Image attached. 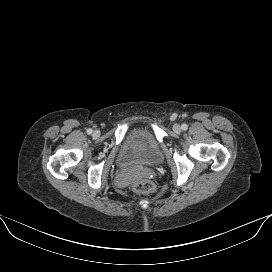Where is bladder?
I'll return each mask as SVG.
<instances>
[{
	"mask_svg": "<svg viewBox=\"0 0 272 272\" xmlns=\"http://www.w3.org/2000/svg\"><path fill=\"white\" fill-rule=\"evenodd\" d=\"M163 153L154 134L147 127L132 129L124 137L118 152L121 167L153 165L162 162Z\"/></svg>",
	"mask_w": 272,
	"mask_h": 272,
	"instance_id": "1",
	"label": "bladder"
}]
</instances>
